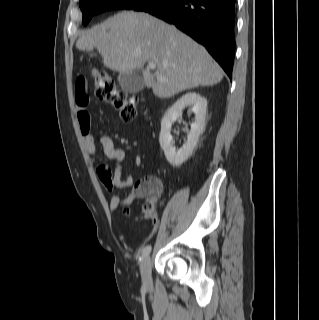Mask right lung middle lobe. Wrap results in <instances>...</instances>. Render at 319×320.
<instances>
[{"label":"right lung middle lobe","mask_w":319,"mask_h":320,"mask_svg":"<svg viewBox=\"0 0 319 320\" xmlns=\"http://www.w3.org/2000/svg\"><path fill=\"white\" fill-rule=\"evenodd\" d=\"M152 0H80L83 13L82 23L86 25L93 15L112 9H134Z\"/></svg>","instance_id":"dd1d6c3e"}]
</instances>
